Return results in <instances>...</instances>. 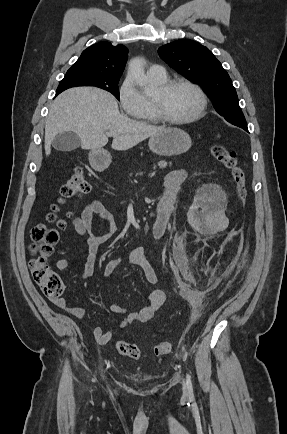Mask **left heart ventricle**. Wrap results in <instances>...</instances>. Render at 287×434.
I'll return each mask as SVG.
<instances>
[{
	"label": "left heart ventricle",
	"instance_id": "b2bd125f",
	"mask_svg": "<svg viewBox=\"0 0 287 434\" xmlns=\"http://www.w3.org/2000/svg\"><path fill=\"white\" fill-rule=\"evenodd\" d=\"M153 98L160 101L166 113L175 119L191 116L199 105L197 94L187 86H176L168 92L159 88Z\"/></svg>",
	"mask_w": 287,
	"mask_h": 434
}]
</instances>
